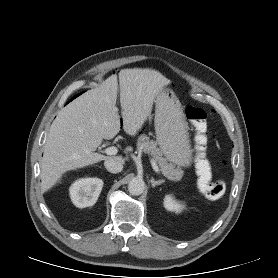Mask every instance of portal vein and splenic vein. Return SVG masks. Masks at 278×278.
I'll list each match as a JSON object with an SVG mask.
<instances>
[{
	"instance_id": "obj_1",
	"label": "portal vein and splenic vein",
	"mask_w": 278,
	"mask_h": 278,
	"mask_svg": "<svg viewBox=\"0 0 278 278\" xmlns=\"http://www.w3.org/2000/svg\"><path fill=\"white\" fill-rule=\"evenodd\" d=\"M105 153L107 155H116L118 153V149L114 146L108 147V148L105 149ZM151 165H152V168L154 169V171L157 174H160V169L158 168V166H157V164L155 163L154 160H151Z\"/></svg>"
}]
</instances>
